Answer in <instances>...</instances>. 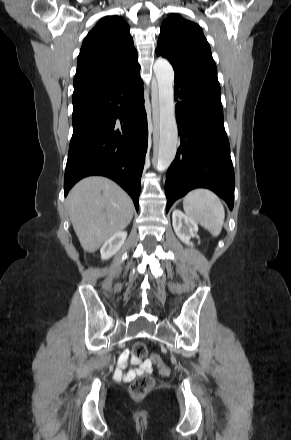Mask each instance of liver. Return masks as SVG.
<instances>
[{"mask_svg":"<svg viewBox=\"0 0 291 440\" xmlns=\"http://www.w3.org/2000/svg\"><path fill=\"white\" fill-rule=\"evenodd\" d=\"M67 206L80 244L90 253L127 227L134 213L129 195L112 180L99 176L79 181L68 194Z\"/></svg>","mask_w":291,"mask_h":440,"instance_id":"1","label":"liver"}]
</instances>
